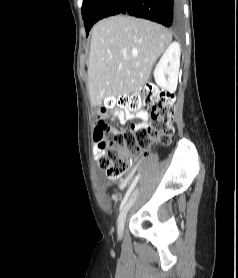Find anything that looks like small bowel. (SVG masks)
<instances>
[{"label": "small bowel", "mask_w": 238, "mask_h": 278, "mask_svg": "<svg viewBox=\"0 0 238 278\" xmlns=\"http://www.w3.org/2000/svg\"><path fill=\"white\" fill-rule=\"evenodd\" d=\"M117 119L119 120L120 123H125L128 120H131L134 117H137L139 119V122L136 123L135 125H133V129H138V128H145L147 126V122H148V115L145 112L142 111H137V112H132L130 110H126V111H117L115 113ZM100 119L105 123V120L114 121V117L109 116L107 111L103 112L100 115ZM111 132H113L114 134L118 133V130L115 128H111L110 129ZM105 139V137H104ZM95 141L98 143V147L96 149V157L99 159V157L102 155V148L100 147V140L95 139ZM130 177L124 179L121 182V186H125L127 184V182L129 181ZM113 198L115 200H118L120 198V196L118 194H115L113 196Z\"/></svg>", "instance_id": "obj_1"}]
</instances>
